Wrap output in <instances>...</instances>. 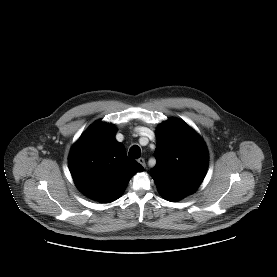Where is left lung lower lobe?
Listing matches in <instances>:
<instances>
[{"mask_svg": "<svg viewBox=\"0 0 277 277\" xmlns=\"http://www.w3.org/2000/svg\"><path fill=\"white\" fill-rule=\"evenodd\" d=\"M164 197V196H163ZM165 199L169 200V201H178L180 199L178 198H171V197H164Z\"/></svg>", "mask_w": 277, "mask_h": 277, "instance_id": "1", "label": "left lung lower lobe"}]
</instances>
